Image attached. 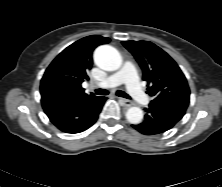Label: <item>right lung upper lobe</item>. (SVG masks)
Here are the masks:
<instances>
[{
    "label": "right lung upper lobe",
    "mask_w": 222,
    "mask_h": 187,
    "mask_svg": "<svg viewBox=\"0 0 222 187\" xmlns=\"http://www.w3.org/2000/svg\"><path fill=\"white\" fill-rule=\"evenodd\" d=\"M109 41V38L92 35L68 46L46 69L40 89L52 85L77 98L94 96V94L87 95L81 84L84 80H88V72L93 64L94 49Z\"/></svg>",
    "instance_id": "cb5924a9"
}]
</instances>
